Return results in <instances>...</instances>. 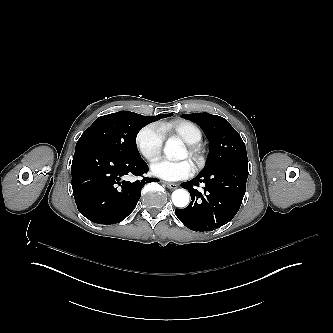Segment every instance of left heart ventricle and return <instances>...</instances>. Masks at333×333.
I'll list each match as a JSON object with an SVG mask.
<instances>
[{
  "instance_id": "1",
  "label": "left heart ventricle",
  "mask_w": 333,
  "mask_h": 333,
  "mask_svg": "<svg viewBox=\"0 0 333 333\" xmlns=\"http://www.w3.org/2000/svg\"><path fill=\"white\" fill-rule=\"evenodd\" d=\"M184 158H187V159H189V155H188V150L186 149V152L184 153V155H183V159Z\"/></svg>"
}]
</instances>
